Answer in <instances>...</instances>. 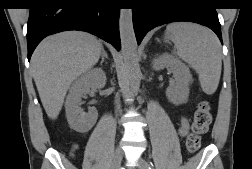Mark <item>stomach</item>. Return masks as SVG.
<instances>
[{
  "mask_svg": "<svg viewBox=\"0 0 252 169\" xmlns=\"http://www.w3.org/2000/svg\"><path fill=\"white\" fill-rule=\"evenodd\" d=\"M165 40L166 41H175L176 40L175 32L170 27L167 29V31L165 33Z\"/></svg>",
  "mask_w": 252,
  "mask_h": 169,
  "instance_id": "obj_1",
  "label": "stomach"
}]
</instances>
